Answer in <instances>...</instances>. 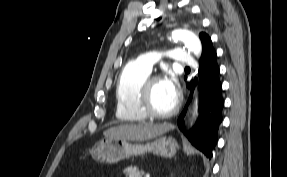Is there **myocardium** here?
Here are the masks:
<instances>
[{"instance_id":"myocardium-1","label":"myocardium","mask_w":287,"mask_h":177,"mask_svg":"<svg viewBox=\"0 0 287 177\" xmlns=\"http://www.w3.org/2000/svg\"><path fill=\"white\" fill-rule=\"evenodd\" d=\"M161 77L159 76H150L146 79V81L143 83L139 96H138V107L140 111L146 116L150 118L155 119H163L173 116L177 113L180 107V96L177 94L176 101L174 106L166 112H157L153 109L151 104V91L153 85L161 81Z\"/></svg>"}]
</instances>
